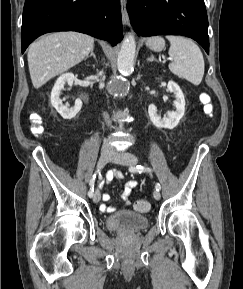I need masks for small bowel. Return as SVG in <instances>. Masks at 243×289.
<instances>
[{"mask_svg":"<svg viewBox=\"0 0 243 289\" xmlns=\"http://www.w3.org/2000/svg\"><path fill=\"white\" fill-rule=\"evenodd\" d=\"M122 178H123V175L120 171L113 170L107 175L106 182L109 183L113 180H118V179H122ZM137 186H138V181H136V180H130L125 184L124 191H123L122 196H121L123 201H124L125 207L130 205L129 196H130L132 190L134 188H136ZM109 199H110L109 194L104 193L102 195L103 202H107ZM100 210L102 212L112 213L116 210V208L113 206H107L103 203L100 205Z\"/></svg>","mask_w":243,"mask_h":289,"instance_id":"c3829d8e","label":"small bowel"}]
</instances>
